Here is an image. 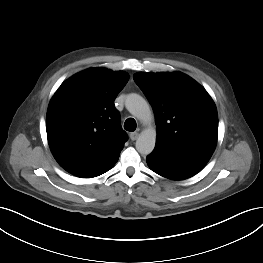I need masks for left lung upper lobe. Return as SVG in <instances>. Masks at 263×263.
Masks as SVG:
<instances>
[{"mask_svg":"<svg viewBox=\"0 0 263 263\" xmlns=\"http://www.w3.org/2000/svg\"><path fill=\"white\" fill-rule=\"evenodd\" d=\"M134 81L150 101L157 126L156 145L213 153L218 115L207 91L180 73H137Z\"/></svg>","mask_w":263,"mask_h":263,"instance_id":"1","label":"left lung upper lobe"}]
</instances>
